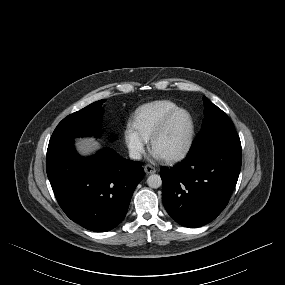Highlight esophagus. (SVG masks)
Masks as SVG:
<instances>
[{
	"mask_svg": "<svg viewBox=\"0 0 285 285\" xmlns=\"http://www.w3.org/2000/svg\"><path fill=\"white\" fill-rule=\"evenodd\" d=\"M144 171L146 174H154V173H156V168L147 164L144 166Z\"/></svg>",
	"mask_w": 285,
	"mask_h": 285,
	"instance_id": "34e87169",
	"label": "esophagus"
}]
</instances>
